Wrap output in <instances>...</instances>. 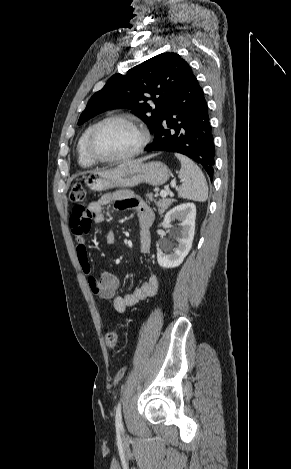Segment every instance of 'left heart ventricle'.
<instances>
[{
  "label": "left heart ventricle",
  "instance_id": "obj_1",
  "mask_svg": "<svg viewBox=\"0 0 291 469\" xmlns=\"http://www.w3.org/2000/svg\"><path fill=\"white\" fill-rule=\"evenodd\" d=\"M136 128L123 121L104 125L94 140V149L102 157H117L132 151L140 142Z\"/></svg>",
  "mask_w": 291,
  "mask_h": 469
}]
</instances>
